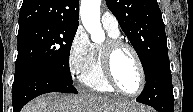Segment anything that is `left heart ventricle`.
Instances as JSON below:
<instances>
[{
    "label": "left heart ventricle",
    "mask_w": 193,
    "mask_h": 112,
    "mask_svg": "<svg viewBox=\"0 0 193 112\" xmlns=\"http://www.w3.org/2000/svg\"><path fill=\"white\" fill-rule=\"evenodd\" d=\"M113 72L119 85L126 92L134 93L140 86V73L133 54L120 49L113 58Z\"/></svg>",
    "instance_id": "1"
}]
</instances>
